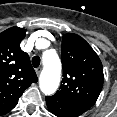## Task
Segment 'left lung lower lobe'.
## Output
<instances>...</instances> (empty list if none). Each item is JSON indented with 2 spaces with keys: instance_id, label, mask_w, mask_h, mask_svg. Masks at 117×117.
Returning a JSON list of instances; mask_svg holds the SVG:
<instances>
[{
  "instance_id": "1",
  "label": "left lung lower lobe",
  "mask_w": 117,
  "mask_h": 117,
  "mask_svg": "<svg viewBox=\"0 0 117 117\" xmlns=\"http://www.w3.org/2000/svg\"><path fill=\"white\" fill-rule=\"evenodd\" d=\"M45 99L48 109L57 117H78L83 113L72 105L54 97L50 96Z\"/></svg>"
}]
</instances>
